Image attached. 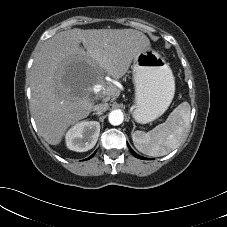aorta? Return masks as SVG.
I'll return each instance as SVG.
<instances>
[{
	"instance_id": "obj_1",
	"label": "aorta",
	"mask_w": 227,
	"mask_h": 227,
	"mask_svg": "<svg viewBox=\"0 0 227 227\" xmlns=\"http://www.w3.org/2000/svg\"><path fill=\"white\" fill-rule=\"evenodd\" d=\"M124 116L120 110H113L110 112L108 120L110 124L117 126L123 122Z\"/></svg>"
}]
</instances>
